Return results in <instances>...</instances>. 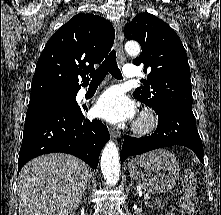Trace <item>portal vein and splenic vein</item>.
<instances>
[{"label": "portal vein and splenic vein", "mask_w": 221, "mask_h": 215, "mask_svg": "<svg viewBox=\"0 0 221 215\" xmlns=\"http://www.w3.org/2000/svg\"><path fill=\"white\" fill-rule=\"evenodd\" d=\"M144 198H145V199H147V200L149 199V197H148V196H144Z\"/></svg>", "instance_id": "obj_1"}]
</instances>
